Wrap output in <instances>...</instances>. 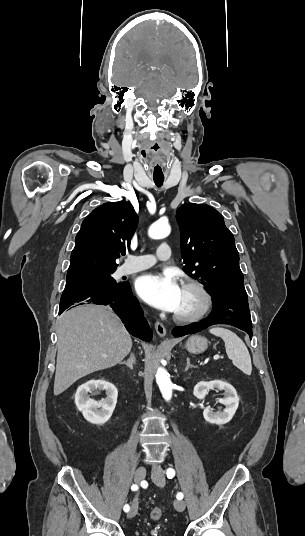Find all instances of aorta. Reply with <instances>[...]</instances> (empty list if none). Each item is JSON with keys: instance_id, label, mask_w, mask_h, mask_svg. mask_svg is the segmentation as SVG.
I'll return each mask as SVG.
<instances>
[{"instance_id": "obj_1", "label": "aorta", "mask_w": 305, "mask_h": 536, "mask_svg": "<svg viewBox=\"0 0 305 536\" xmlns=\"http://www.w3.org/2000/svg\"><path fill=\"white\" fill-rule=\"evenodd\" d=\"M171 232V227L168 223L165 222H155L153 223L149 230L148 235L152 239H162L167 237ZM156 382L159 386V389L162 393L163 398L166 401H170L172 398V388L173 384L170 380L169 373L163 368L159 367L156 372Z\"/></svg>"}]
</instances>
